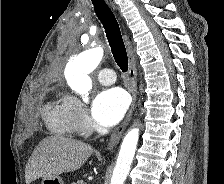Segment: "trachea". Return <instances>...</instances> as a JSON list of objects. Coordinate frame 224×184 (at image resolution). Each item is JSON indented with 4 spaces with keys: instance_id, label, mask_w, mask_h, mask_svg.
<instances>
[{
    "instance_id": "3493384b",
    "label": "trachea",
    "mask_w": 224,
    "mask_h": 184,
    "mask_svg": "<svg viewBox=\"0 0 224 184\" xmlns=\"http://www.w3.org/2000/svg\"><path fill=\"white\" fill-rule=\"evenodd\" d=\"M95 13L101 21L115 62L123 72L128 70V57L119 24L108 5L103 0H92Z\"/></svg>"
}]
</instances>
